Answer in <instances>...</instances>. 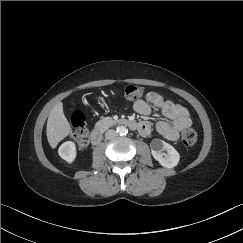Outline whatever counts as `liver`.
Returning a JSON list of instances; mask_svg holds the SVG:
<instances>
[{"instance_id": "obj_1", "label": "liver", "mask_w": 243, "mask_h": 243, "mask_svg": "<svg viewBox=\"0 0 243 243\" xmlns=\"http://www.w3.org/2000/svg\"><path fill=\"white\" fill-rule=\"evenodd\" d=\"M71 131L70 124L63 112L62 102H58L50 111L47 120V140L54 149L58 143L69 135Z\"/></svg>"}]
</instances>
